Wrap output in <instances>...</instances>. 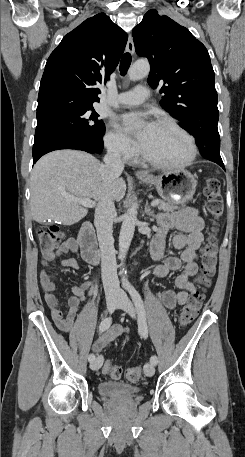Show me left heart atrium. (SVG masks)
<instances>
[{
	"instance_id": "obj_1",
	"label": "left heart atrium",
	"mask_w": 245,
	"mask_h": 457,
	"mask_svg": "<svg viewBox=\"0 0 245 457\" xmlns=\"http://www.w3.org/2000/svg\"><path fill=\"white\" fill-rule=\"evenodd\" d=\"M122 124L126 130H134L140 121H144V127L137 137V146L141 148L146 144L155 127L152 123L145 121L142 113L134 112L122 116Z\"/></svg>"
}]
</instances>
